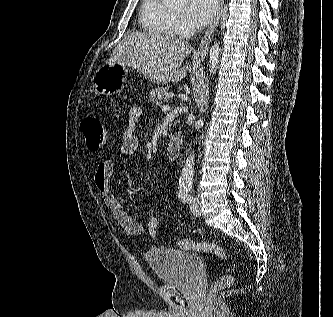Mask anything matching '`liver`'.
I'll return each instance as SVG.
<instances>
[{"instance_id":"1","label":"liver","mask_w":333,"mask_h":317,"mask_svg":"<svg viewBox=\"0 0 333 317\" xmlns=\"http://www.w3.org/2000/svg\"><path fill=\"white\" fill-rule=\"evenodd\" d=\"M192 47L181 38L159 33L133 32L125 36L115 47L107 63L121 64L137 69L156 84L177 83L187 72L197 71L200 62L182 66Z\"/></svg>"}]
</instances>
